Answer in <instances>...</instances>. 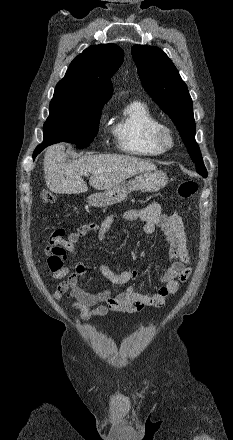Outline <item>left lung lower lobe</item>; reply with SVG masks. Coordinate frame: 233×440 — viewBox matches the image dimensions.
Here are the masks:
<instances>
[{"instance_id": "1", "label": "left lung lower lobe", "mask_w": 233, "mask_h": 440, "mask_svg": "<svg viewBox=\"0 0 233 440\" xmlns=\"http://www.w3.org/2000/svg\"><path fill=\"white\" fill-rule=\"evenodd\" d=\"M199 174H201L203 177H207V171L205 168L197 171Z\"/></svg>"}]
</instances>
